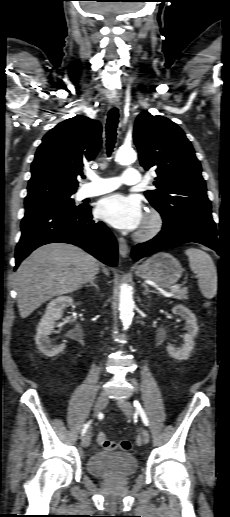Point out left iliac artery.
I'll list each match as a JSON object with an SVG mask.
<instances>
[{
	"instance_id": "1",
	"label": "left iliac artery",
	"mask_w": 230,
	"mask_h": 517,
	"mask_svg": "<svg viewBox=\"0 0 230 517\" xmlns=\"http://www.w3.org/2000/svg\"><path fill=\"white\" fill-rule=\"evenodd\" d=\"M134 406H135L137 412L140 414L143 423L146 426H148L149 425V421H148L147 415H146L144 409L142 408L141 404L138 401L135 400L134 401Z\"/></svg>"
}]
</instances>
